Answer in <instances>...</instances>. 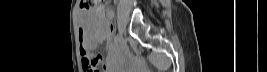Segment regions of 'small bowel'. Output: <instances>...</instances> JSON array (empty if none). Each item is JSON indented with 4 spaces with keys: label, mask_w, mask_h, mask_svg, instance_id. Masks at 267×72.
<instances>
[{
    "label": "small bowel",
    "mask_w": 267,
    "mask_h": 72,
    "mask_svg": "<svg viewBox=\"0 0 267 72\" xmlns=\"http://www.w3.org/2000/svg\"><path fill=\"white\" fill-rule=\"evenodd\" d=\"M111 14H112V11L110 10L109 13H108V17H110ZM87 21H88V24L92 28H94V30H95L94 37H95L96 41L97 40H103V39H106V38L109 37V36H107V33H108L109 29L108 30H101L98 20L88 18ZM107 50H108L109 53L113 52V46L109 42L107 43ZM87 57H88V53H87L86 49L84 48V49L81 50V59H82V64L84 66L87 65ZM104 68H105V71H109V67L108 66H104Z\"/></svg>",
    "instance_id": "c3829d8e"
}]
</instances>
